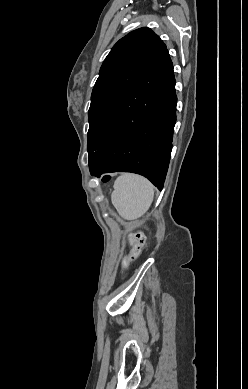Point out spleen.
Instances as JSON below:
<instances>
[{"instance_id":"1","label":"spleen","mask_w":248,"mask_h":389,"mask_svg":"<svg viewBox=\"0 0 248 389\" xmlns=\"http://www.w3.org/2000/svg\"><path fill=\"white\" fill-rule=\"evenodd\" d=\"M154 198V187L146 178L136 174H122L114 183L112 204L119 215L127 220L142 216Z\"/></svg>"}]
</instances>
